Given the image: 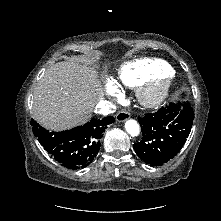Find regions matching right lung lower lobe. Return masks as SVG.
Returning <instances> with one entry per match:
<instances>
[{"mask_svg":"<svg viewBox=\"0 0 221 221\" xmlns=\"http://www.w3.org/2000/svg\"><path fill=\"white\" fill-rule=\"evenodd\" d=\"M114 122L112 116L92 119L83 126L62 132H49L32 120V130L44 149L68 169L88 166L100 149V139L108 125Z\"/></svg>","mask_w":221,"mask_h":221,"instance_id":"98d812e1","label":"right lung lower lobe"}]
</instances>
